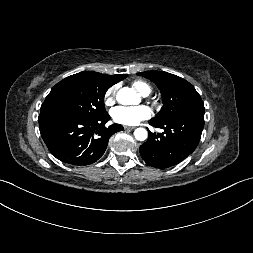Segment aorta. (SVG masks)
Masks as SVG:
<instances>
[{
	"label": "aorta",
	"instance_id": "aorta-1",
	"mask_svg": "<svg viewBox=\"0 0 253 253\" xmlns=\"http://www.w3.org/2000/svg\"><path fill=\"white\" fill-rule=\"evenodd\" d=\"M117 101L122 105H134L140 102V97L133 88L124 87L117 92ZM134 136L138 141L147 139L148 133L145 128H137Z\"/></svg>",
	"mask_w": 253,
	"mask_h": 253
}]
</instances>
